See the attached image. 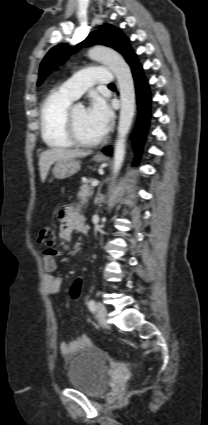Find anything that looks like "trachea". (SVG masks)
<instances>
[{
  "mask_svg": "<svg viewBox=\"0 0 208 425\" xmlns=\"http://www.w3.org/2000/svg\"><path fill=\"white\" fill-rule=\"evenodd\" d=\"M114 86H115L114 83L109 84V87H114Z\"/></svg>",
  "mask_w": 208,
  "mask_h": 425,
  "instance_id": "obj_1",
  "label": "trachea"
}]
</instances>
